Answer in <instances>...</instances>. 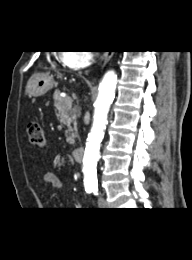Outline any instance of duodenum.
<instances>
[{
    "mask_svg": "<svg viewBox=\"0 0 192 260\" xmlns=\"http://www.w3.org/2000/svg\"><path fill=\"white\" fill-rule=\"evenodd\" d=\"M72 155L77 162H81L84 155V148L81 146L74 148L72 151Z\"/></svg>",
    "mask_w": 192,
    "mask_h": 260,
    "instance_id": "410a0bca",
    "label": "duodenum"
}]
</instances>
